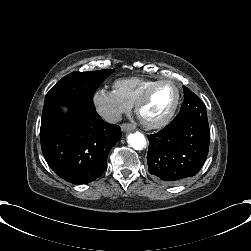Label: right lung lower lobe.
<instances>
[{
	"mask_svg": "<svg viewBox=\"0 0 251 251\" xmlns=\"http://www.w3.org/2000/svg\"><path fill=\"white\" fill-rule=\"evenodd\" d=\"M42 116V152L50 168L73 184H85L102 175L110 149L121 137L119 126L104 122L95 108L64 104Z\"/></svg>",
	"mask_w": 251,
	"mask_h": 251,
	"instance_id": "1",
	"label": "right lung lower lobe"
}]
</instances>
